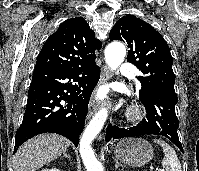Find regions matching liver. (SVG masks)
<instances>
[{"label":"liver","mask_w":199,"mask_h":171,"mask_svg":"<svg viewBox=\"0 0 199 171\" xmlns=\"http://www.w3.org/2000/svg\"><path fill=\"white\" fill-rule=\"evenodd\" d=\"M70 141L58 134L46 133L37 135L17 150L14 160V171H37L64 153Z\"/></svg>","instance_id":"6515ba94"}]
</instances>
